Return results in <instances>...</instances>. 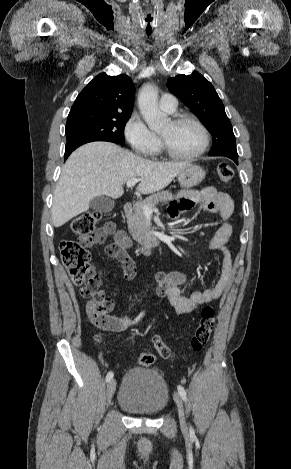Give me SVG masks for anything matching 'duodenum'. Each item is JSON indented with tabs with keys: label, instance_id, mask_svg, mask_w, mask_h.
<instances>
[{
	"label": "duodenum",
	"instance_id": "duodenum-1",
	"mask_svg": "<svg viewBox=\"0 0 291 469\" xmlns=\"http://www.w3.org/2000/svg\"><path fill=\"white\" fill-rule=\"evenodd\" d=\"M123 211H124V214H125L126 216H129V215L132 213V211H133V204H132L131 202H127V203L124 205V207H123ZM143 252H144L145 254H149V253H150V249H149V248H144V249H143Z\"/></svg>",
	"mask_w": 291,
	"mask_h": 469
}]
</instances>
